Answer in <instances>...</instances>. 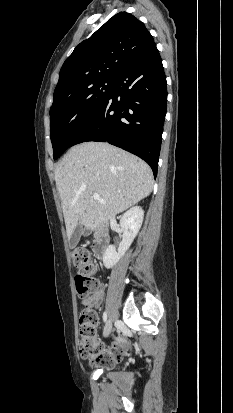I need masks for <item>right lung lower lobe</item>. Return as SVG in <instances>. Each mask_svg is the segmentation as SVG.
<instances>
[{
    "mask_svg": "<svg viewBox=\"0 0 233 413\" xmlns=\"http://www.w3.org/2000/svg\"><path fill=\"white\" fill-rule=\"evenodd\" d=\"M166 85L154 43L117 73L111 95L72 146L87 141L109 142L145 160L156 178L166 114Z\"/></svg>",
    "mask_w": 233,
    "mask_h": 413,
    "instance_id": "obj_1",
    "label": "right lung lower lobe"
}]
</instances>
